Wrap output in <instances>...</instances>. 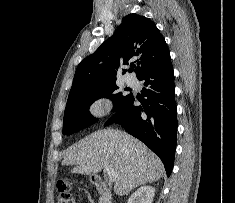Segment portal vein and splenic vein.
<instances>
[{"label": "portal vein and splenic vein", "instance_id": "18ae733b", "mask_svg": "<svg viewBox=\"0 0 235 203\" xmlns=\"http://www.w3.org/2000/svg\"><path fill=\"white\" fill-rule=\"evenodd\" d=\"M108 178H109V182H115L118 178V173L114 172L113 170H110L109 168L105 169Z\"/></svg>", "mask_w": 235, "mask_h": 203}]
</instances>
